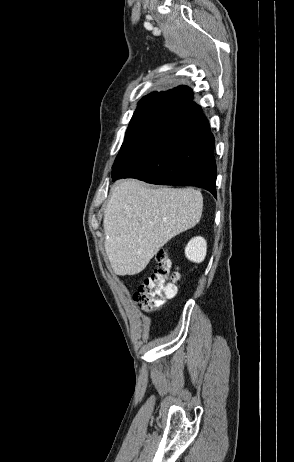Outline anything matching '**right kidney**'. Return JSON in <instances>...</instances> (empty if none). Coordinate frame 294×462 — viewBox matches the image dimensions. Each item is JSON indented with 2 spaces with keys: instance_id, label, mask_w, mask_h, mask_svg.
Masks as SVG:
<instances>
[{
  "instance_id": "ca27d5eb",
  "label": "right kidney",
  "mask_w": 294,
  "mask_h": 462,
  "mask_svg": "<svg viewBox=\"0 0 294 462\" xmlns=\"http://www.w3.org/2000/svg\"><path fill=\"white\" fill-rule=\"evenodd\" d=\"M206 252L207 242L200 236L192 238L185 248L186 258L195 263H201L205 259Z\"/></svg>"
}]
</instances>
